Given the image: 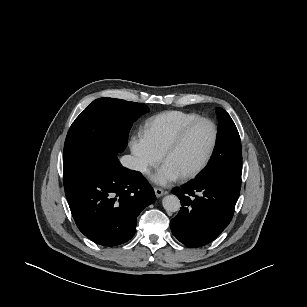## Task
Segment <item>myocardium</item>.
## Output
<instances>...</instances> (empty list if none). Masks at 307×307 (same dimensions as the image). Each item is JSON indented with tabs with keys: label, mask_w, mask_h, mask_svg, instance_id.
Instances as JSON below:
<instances>
[{
	"label": "myocardium",
	"mask_w": 307,
	"mask_h": 307,
	"mask_svg": "<svg viewBox=\"0 0 307 307\" xmlns=\"http://www.w3.org/2000/svg\"><path fill=\"white\" fill-rule=\"evenodd\" d=\"M201 123H207L211 126L212 131H213L212 141H211L210 146L208 148V151H207L205 157L203 158V160L201 161V163L195 169H193L192 171L182 175L181 176L182 180H190V179L195 178L207 167L208 163L210 162V160L213 156V153L215 151V148H216V145H217V142H218V135H219L218 127L215 124V122L212 121L211 119L205 118V117H200L198 119H195V120L189 122L177 133V135L170 142V144L167 146V148L165 149V151L163 153V161L165 162L166 159L181 145V143L184 141V139L189 134V132L194 127H196L197 125H199Z\"/></svg>",
	"instance_id": "f54148a6"
}]
</instances>
